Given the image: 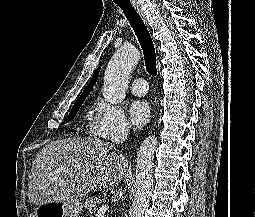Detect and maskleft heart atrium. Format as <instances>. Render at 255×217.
Listing matches in <instances>:
<instances>
[{
	"label": "left heart atrium",
	"instance_id": "1",
	"mask_svg": "<svg viewBox=\"0 0 255 217\" xmlns=\"http://www.w3.org/2000/svg\"><path fill=\"white\" fill-rule=\"evenodd\" d=\"M129 116L135 127L143 126L150 116V106L145 100H135L129 107Z\"/></svg>",
	"mask_w": 255,
	"mask_h": 217
}]
</instances>
